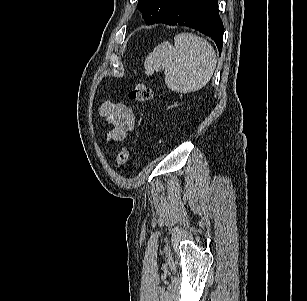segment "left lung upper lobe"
Returning <instances> with one entry per match:
<instances>
[{"label": "left lung upper lobe", "instance_id": "1", "mask_svg": "<svg viewBox=\"0 0 307 301\" xmlns=\"http://www.w3.org/2000/svg\"><path fill=\"white\" fill-rule=\"evenodd\" d=\"M179 0H138V9L147 25L154 24L166 15Z\"/></svg>", "mask_w": 307, "mask_h": 301}]
</instances>
